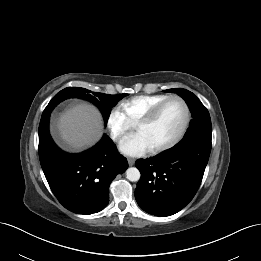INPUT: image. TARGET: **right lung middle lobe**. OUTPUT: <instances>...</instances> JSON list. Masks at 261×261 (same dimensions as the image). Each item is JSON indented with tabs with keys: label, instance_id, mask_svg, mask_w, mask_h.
I'll return each mask as SVG.
<instances>
[{
	"label": "right lung middle lobe",
	"instance_id": "1",
	"mask_svg": "<svg viewBox=\"0 0 261 261\" xmlns=\"http://www.w3.org/2000/svg\"><path fill=\"white\" fill-rule=\"evenodd\" d=\"M127 94L108 95L104 93L93 92L90 90L78 87H68L57 93L53 99L49 102L45 110L53 109L58 103L67 98H82L94 103L102 112L105 123H107L110 116L111 108L114 107L119 100L125 97Z\"/></svg>",
	"mask_w": 261,
	"mask_h": 261
}]
</instances>
